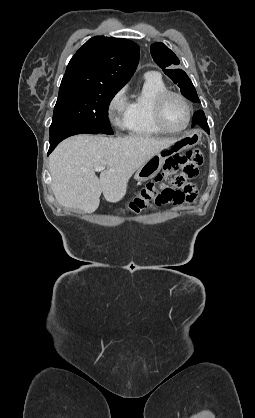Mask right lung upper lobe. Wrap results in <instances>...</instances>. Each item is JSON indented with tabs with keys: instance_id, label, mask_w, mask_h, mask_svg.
<instances>
[{
	"instance_id": "right-lung-upper-lobe-1",
	"label": "right lung upper lobe",
	"mask_w": 255,
	"mask_h": 418,
	"mask_svg": "<svg viewBox=\"0 0 255 418\" xmlns=\"http://www.w3.org/2000/svg\"><path fill=\"white\" fill-rule=\"evenodd\" d=\"M139 61V46L127 39L95 36L71 58L61 85L79 84L121 89Z\"/></svg>"
}]
</instances>
